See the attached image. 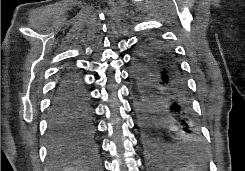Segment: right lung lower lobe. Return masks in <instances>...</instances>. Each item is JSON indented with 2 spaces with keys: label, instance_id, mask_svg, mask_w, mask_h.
<instances>
[{
  "label": "right lung lower lobe",
  "instance_id": "obj_1",
  "mask_svg": "<svg viewBox=\"0 0 245 171\" xmlns=\"http://www.w3.org/2000/svg\"><path fill=\"white\" fill-rule=\"evenodd\" d=\"M48 137L52 158L66 155L73 147H90L94 142V111L90 95L82 78L71 66L62 72L51 101Z\"/></svg>",
  "mask_w": 245,
  "mask_h": 171
}]
</instances>
